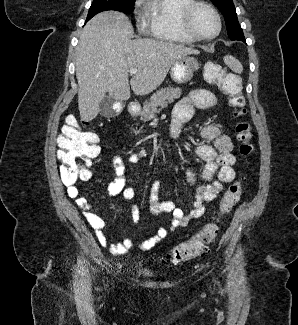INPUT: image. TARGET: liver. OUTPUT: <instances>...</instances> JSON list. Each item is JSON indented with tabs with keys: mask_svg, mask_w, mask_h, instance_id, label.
I'll list each match as a JSON object with an SVG mask.
<instances>
[{
	"mask_svg": "<svg viewBox=\"0 0 298 325\" xmlns=\"http://www.w3.org/2000/svg\"><path fill=\"white\" fill-rule=\"evenodd\" d=\"M128 16L104 10L85 24L76 56L78 108L81 120L97 116L106 92L115 100L149 94L165 80L172 64L184 54H200L197 48L156 38H134ZM130 68H137L129 80Z\"/></svg>",
	"mask_w": 298,
	"mask_h": 325,
	"instance_id": "1",
	"label": "liver"
}]
</instances>
